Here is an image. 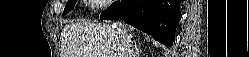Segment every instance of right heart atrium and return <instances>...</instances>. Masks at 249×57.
Returning <instances> with one entry per match:
<instances>
[{"label":"right heart atrium","instance_id":"d8ad5b80","mask_svg":"<svg viewBox=\"0 0 249 57\" xmlns=\"http://www.w3.org/2000/svg\"><path fill=\"white\" fill-rule=\"evenodd\" d=\"M92 3L94 4V5H100V6H105V5H107L108 3H109V1H101V0H95V1H92Z\"/></svg>","mask_w":249,"mask_h":57}]
</instances>
